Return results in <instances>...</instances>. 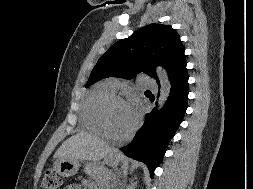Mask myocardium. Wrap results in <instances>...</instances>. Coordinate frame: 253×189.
<instances>
[{
	"label": "myocardium",
	"instance_id": "myocardium-1",
	"mask_svg": "<svg viewBox=\"0 0 253 189\" xmlns=\"http://www.w3.org/2000/svg\"><path fill=\"white\" fill-rule=\"evenodd\" d=\"M116 103H126V101L122 96L116 95V94L104 100V102L101 104L100 109H99L100 124L104 132V135L107 136L108 138L116 139V140H128L133 136V134L139 128L141 120L140 118H138L134 126L128 132L124 134L114 133L110 129L109 124H108V112H109L110 107Z\"/></svg>",
	"mask_w": 253,
	"mask_h": 189
}]
</instances>
